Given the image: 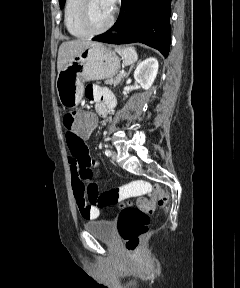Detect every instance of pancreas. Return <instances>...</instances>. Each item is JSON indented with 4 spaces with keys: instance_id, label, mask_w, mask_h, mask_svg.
I'll use <instances>...</instances> for the list:
<instances>
[{
    "instance_id": "cf45deb5",
    "label": "pancreas",
    "mask_w": 240,
    "mask_h": 288,
    "mask_svg": "<svg viewBox=\"0 0 240 288\" xmlns=\"http://www.w3.org/2000/svg\"><path fill=\"white\" fill-rule=\"evenodd\" d=\"M123 77H124V75L122 74V75H117L114 79H109V80H106L104 83L105 84H108V85H114V86H116V85H118L120 82H121V80L123 79ZM100 83V82H99Z\"/></svg>"
}]
</instances>
